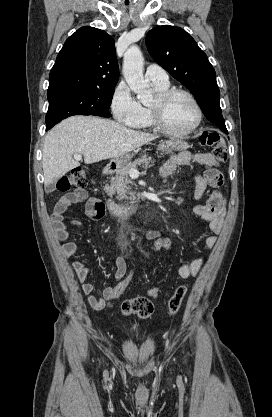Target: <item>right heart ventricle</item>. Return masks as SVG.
Returning a JSON list of instances; mask_svg holds the SVG:
<instances>
[{"label": "right heart ventricle", "mask_w": 272, "mask_h": 417, "mask_svg": "<svg viewBox=\"0 0 272 417\" xmlns=\"http://www.w3.org/2000/svg\"><path fill=\"white\" fill-rule=\"evenodd\" d=\"M153 87L158 93H160L168 89L169 84L164 86L153 84ZM131 127L143 130L152 129L154 127L151 121L149 107L141 105V116Z\"/></svg>", "instance_id": "e07e8e85"}]
</instances>
